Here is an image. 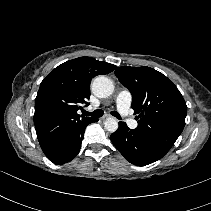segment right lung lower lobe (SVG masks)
<instances>
[{
  "instance_id": "obj_1",
  "label": "right lung lower lobe",
  "mask_w": 211,
  "mask_h": 211,
  "mask_svg": "<svg viewBox=\"0 0 211 211\" xmlns=\"http://www.w3.org/2000/svg\"><path fill=\"white\" fill-rule=\"evenodd\" d=\"M96 121H98V119H93L88 123L80 125L62 138L53 147L44 150L43 152L46 157L55 164H64L71 161L80 151L86 126Z\"/></svg>"
}]
</instances>
